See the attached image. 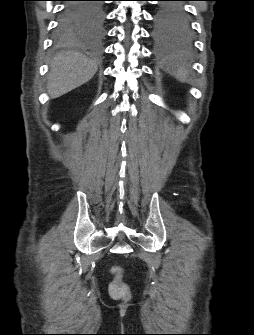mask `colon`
Returning a JSON list of instances; mask_svg holds the SVG:
<instances>
[{"mask_svg": "<svg viewBox=\"0 0 254 335\" xmlns=\"http://www.w3.org/2000/svg\"><path fill=\"white\" fill-rule=\"evenodd\" d=\"M113 280L109 285V292L116 299H123L129 296V289L122 278V271L119 267L112 269Z\"/></svg>", "mask_w": 254, "mask_h": 335, "instance_id": "5ec220e1", "label": "colon"}]
</instances>
